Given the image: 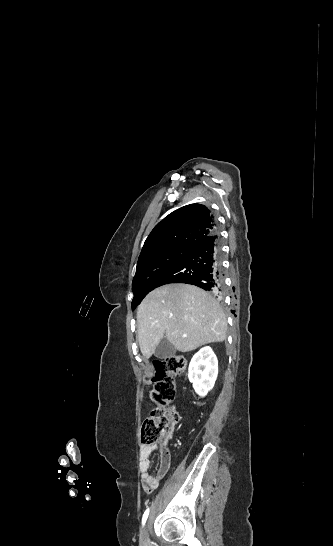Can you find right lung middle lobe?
I'll return each instance as SVG.
<instances>
[{
  "label": "right lung middle lobe",
  "instance_id": "obj_1",
  "mask_svg": "<svg viewBox=\"0 0 333 546\" xmlns=\"http://www.w3.org/2000/svg\"><path fill=\"white\" fill-rule=\"evenodd\" d=\"M192 247H171L139 261L136 274L133 278L132 290L134 298L132 310L140 304L141 300L154 288L158 281L184 258Z\"/></svg>",
  "mask_w": 333,
  "mask_h": 546
}]
</instances>
